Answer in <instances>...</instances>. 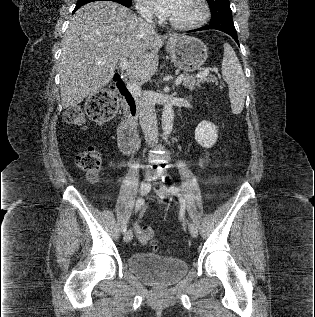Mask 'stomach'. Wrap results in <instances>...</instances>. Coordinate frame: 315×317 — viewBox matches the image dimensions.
I'll return each mask as SVG.
<instances>
[{
	"label": "stomach",
	"mask_w": 315,
	"mask_h": 317,
	"mask_svg": "<svg viewBox=\"0 0 315 317\" xmlns=\"http://www.w3.org/2000/svg\"><path fill=\"white\" fill-rule=\"evenodd\" d=\"M167 50L174 65L184 72L199 69L208 57L206 45L191 36H173L167 42Z\"/></svg>",
	"instance_id": "1"
}]
</instances>
